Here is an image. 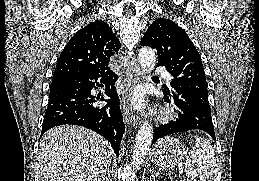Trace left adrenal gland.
Returning a JSON list of instances; mask_svg holds the SVG:
<instances>
[{
	"label": "left adrenal gland",
	"instance_id": "obj_1",
	"mask_svg": "<svg viewBox=\"0 0 259 181\" xmlns=\"http://www.w3.org/2000/svg\"><path fill=\"white\" fill-rule=\"evenodd\" d=\"M157 176H159V172H156V170H152V175H151L150 181H155Z\"/></svg>",
	"mask_w": 259,
	"mask_h": 181
}]
</instances>
